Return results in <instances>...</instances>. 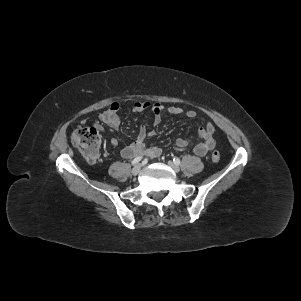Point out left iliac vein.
<instances>
[{"label": "left iliac vein", "instance_id": "obj_1", "mask_svg": "<svg viewBox=\"0 0 301 301\" xmlns=\"http://www.w3.org/2000/svg\"><path fill=\"white\" fill-rule=\"evenodd\" d=\"M168 166L176 173L180 171V167L173 161H168Z\"/></svg>", "mask_w": 301, "mask_h": 301}]
</instances>
